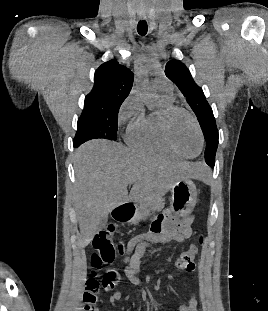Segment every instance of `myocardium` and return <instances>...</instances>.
I'll use <instances>...</instances> for the list:
<instances>
[{
    "mask_svg": "<svg viewBox=\"0 0 268 311\" xmlns=\"http://www.w3.org/2000/svg\"><path fill=\"white\" fill-rule=\"evenodd\" d=\"M177 113H183L186 114L193 122L194 126L196 127V130L198 132L199 138H200V148L197 154L195 155H189L184 153L182 150H180L177 145L175 144L172 135H171V121L173 117ZM161 132L163 135V138L166 142V144L170 147L171 150H173L176 154H178L181 157L185 158H195L197 157L204 147V134L202 131V128L200 126L199 121L197 120L196 116L188 109L177 106V105H170L163 109L162 115H161Z\"/></svg>",
    "mask_w": 268,
    "mask_h": 311,
    "instance_id": "f54148a6",
    "label": "myocardium"
}]
</instances>
